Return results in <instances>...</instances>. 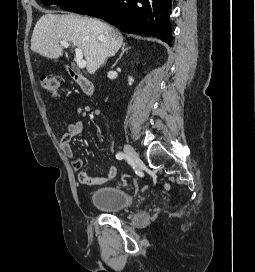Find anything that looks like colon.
<instances>
[{
	"label": "colon",
	"instance_id": "1",
	"mask_svg": "<svg viewBox=\"0 0 255 272\" xmlns=\"http://www.w3.org/2000/svg\"><path fill=\"white\" fill-rule=\"evenodd\" d=\"M61 76L56 73L44 74L41 77L42 87L52 96L58 97L60 92Z\"/></svg>",
	"mask_w": 255,
	"mask_h": 272
}]
</instances>
